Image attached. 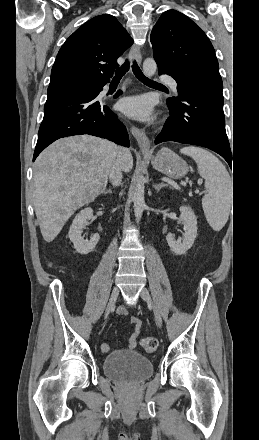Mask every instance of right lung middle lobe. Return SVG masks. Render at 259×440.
<instances>
[{
	"label": "right lung middle lobe",
	"mask_w": 259,
	"mask_h": 440,
	"mask_svg": "<svg viewBox=\"0 0 259 440\" xmlns=\"http://www.w3.org/2000/svg\"><path fill=\"white\" fill-rule=\"evenodd\" d=\"M80 88H84V87H80ZM74 89H79V88H74ZM74 89H70V90H74ZM67 91H69V90H67Z\"/></svg>",
	"instance_id": "right-lung-middle-lobe-1"
}]
</instances>
